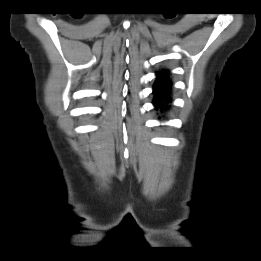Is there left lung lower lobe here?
I'll list each match as a JSON object with an SVG mask.
<instances>
[{
	"instance_id": "0a47b994",
	"label": "left lung lower lobe",
	"mask_w": 261,
	"mask_h": 261,
	"mask_svg": "<svg viewBox=\"0 0 261 261\" xmlns=\"http://www.w3.org/2000/svg\"><path fill=\"white\" fill-rule=\"evenodd\" d=\"M171 82L168 79L167 72H157V80L154 83V105L156 109L164 112L168 109V104L171 102L169 97Z\"/></svg>"
}]
</instances>
